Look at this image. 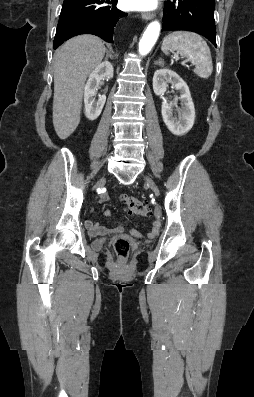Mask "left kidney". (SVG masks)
Instances as JSON below:
<instances>
[{
    "label": "left kidney",
    "instance_id": "left-kidney-1",
    "mask_svg": "<svg viewBox=\"0 0 254 397\" xmlns=\"http://www.w3.org/2000/svg\"><path fill=\"white\" fill-rule=\"evenodd\" d=\"M167 83H171L179 90L181 107L177 110V116L173 113V106L177 103H169L165 98H162V117L171 133L176 136H182L193 127L195 119L194 103L187 84L176 72L169 69L155 71L153 90L156 95L163 96L165 94Z\"/></svg>",
    "mask_w": 254,
    "mask_h": 397
}]
</instances>
